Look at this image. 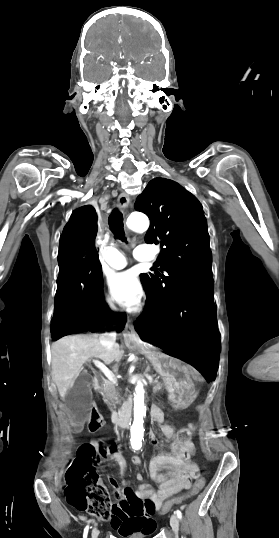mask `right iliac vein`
Listing matches in <instances>:
<instances>
[{
  "label": "right iliac vein",
  "instance_id": "63e3f726",
  "mask_svg": "<svg viewBox=\"0 0 279 538\" xmlns=\"http://www.w3.org/2000/svg\"><path fill=\"white\" fill-rule=\"evenodd\" d=\"M98 529L97 527H94L93 530H92V538H97L98 537Z\"/></svg>",
  "mask_w": 279,
  "mask_h": 538
}]
</instances>
